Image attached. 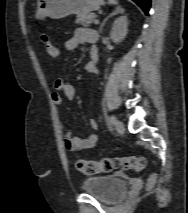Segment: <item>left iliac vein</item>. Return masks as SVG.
Listing matches in <instances>:
<instances>
[{
	"mask_svg": "<svg viewBox=\"0 0 188 213\" xmlns=\"http://www.w3.org/2000/svg\"><path fill=\"white\" fill-rule=\"evenodd\" d=\"M115 128L120 133H123L125 131L124 124L121 121H119V120H116V122H115Z\"/></svg>",
	"mask_w": 188,
	"mask_h": 213,
	"instance_id": "obj_1",
	"label": "left iliac vein"
}]
</instances>
